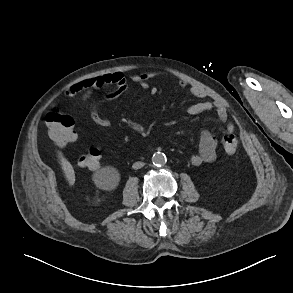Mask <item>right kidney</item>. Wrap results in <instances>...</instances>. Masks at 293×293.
Here are the masks:
<instances>
[{
  "label": "right kidney",
  "instance_id": "obj_1",
  "mask_svg": "<svg viewBox=\"0 0 293 293\" xmlns=\"http://www.w3.org/2000/svg\"><path fill=\"white\" fill-rule=\"evenodd\" d=\"M104 171L107 173V174H109L110 175V177H112L116 182H118L119 181V173H118V171L115 169V168H113V167H106L105 169H104Z\"/></svg>",
  "mask_w": 293,
  "mask_h": 293
}]
</instances>
